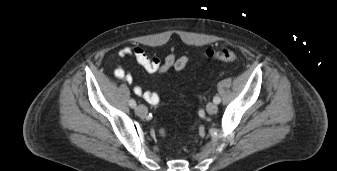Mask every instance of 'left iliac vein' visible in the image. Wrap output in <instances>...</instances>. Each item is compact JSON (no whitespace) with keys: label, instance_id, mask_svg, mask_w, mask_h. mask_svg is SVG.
Wrapping results in <instances>:
<instances>
[{"label":"left iliac vein","instance_id":"obj_1","mask_svg":"<svg viewBox=\"0 0 337 171\" xmlns=\"http://www.w3.org/2000/svg\"><path fill=\"white\" fill-rule=\"evenodd\" d=\"M217 110H218V107H217V105H216L215 103L210 102V103H208L207 106H206V111H207L208 114H210V115L215 114V113L217 112Z\"/></svg>","mask_w":337,"mask_h":171}]
</instances>
